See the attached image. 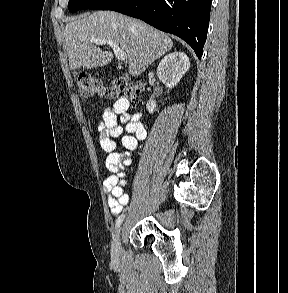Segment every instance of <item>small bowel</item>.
<instances>
[{
	"label": "small bowel",
	"instance_id": "1",
	"mask_svg": "<svg viewBox=\"0 0 288 293\" xmlns=\"http://www.w3.org/2000/svg\"><path fill=\"white\" fill-rule=\"evenodd\" d=\"M126 131V134H123ZM100 146L107 153L106 167L111 172L103 182V189L107 194V202L113 215L119 214L129 202L125 193L127 183V169L132 164V156L138 142L147 136V131L141 121L139 112H129V103L119 99L107 108L98 124ZM125 151H116L118 143Z\"/></svg>",
	"mask_w": 288,
	"mask_h": 293
}]
</instances>
